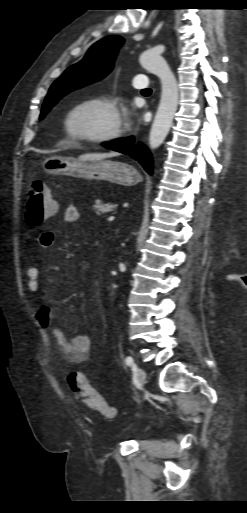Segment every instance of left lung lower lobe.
<instances>
[{
  "label": "left lung lower lobe",
  "instance_id": "0a47b994",
  "mask_svg": "<svg viewBox=\"0 0 247 513\" xmlns=\"http://www.w3.org/2000/svg\"><path fill=\"white\" fill-rule=\"evenodd\" d=\"M102 146L107 149L130 155L132 158L139 161L148 173H152L151 154L145 146L141 144L137 145L134 137L124 138L111 143H102Z\"/></svg>",
  "mask_w": 247,
  "mask_h": 513
}]
</instances>
